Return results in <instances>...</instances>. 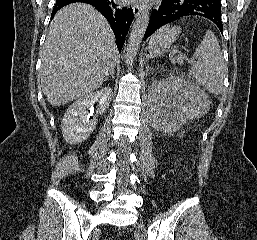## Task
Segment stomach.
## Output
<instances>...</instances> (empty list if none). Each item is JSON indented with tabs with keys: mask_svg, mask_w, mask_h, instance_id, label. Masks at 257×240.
<instances>
[{
	"mask_svg": "<svg viewBox=\"0 0 257 240\" xmlns=\"http://www.w3.org/2000/svg\"><path fill=\"white\" fill-rule=\"evenodd\" d=\"M148 49L151 56H158L164 53L166 46L165 44H160L156 40H150Z\"/></svg>",
	"mask_w": 257,
	"mask_h": 240,
	"instance_id": "1",
	"label": "stomach"
}]
</instances>
